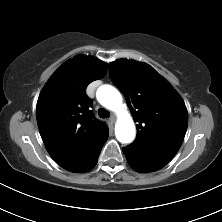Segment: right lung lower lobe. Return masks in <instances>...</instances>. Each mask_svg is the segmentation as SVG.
<instances>
[{"mask_svg": "<svg viewBox=\"0 0 222 222\" xmlns=\"http://www.w3.org/2000/svg\"><path fill=\"white\" fill-rule=\"evenodd\" d=\"M99 156V155H98ZM98 157L97 159L90 165V167L88 168V171L91 170L93 167H95L96 163H97Z\"/></svg>", "mask_w": 222, "mask_h": 222, "instance_id": "1", "label": "right lung lower lobe"}]
</instances>
